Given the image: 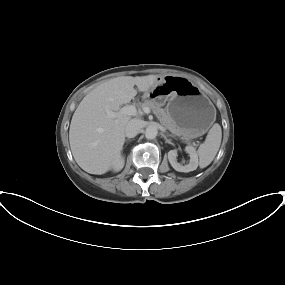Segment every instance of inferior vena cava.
Here are the masks:
<instances>
[{
  "label": "inferior vena cava",
  "instance_id": "obj_1",
  "mask_svg": "<svg viewBox=\"0 0 285 285\" xmlns=\"http://www.w3.org/2000/svg\"><path fill=\"white\" fill-rule=\"evenodd\" d=\"M143 128V121L139 119H132L128 122L125 128V135L128 138H133L141 132Z\"/></svg>",
  "mask_w": 285,
  "mask_h": 285
}]
</instances>
